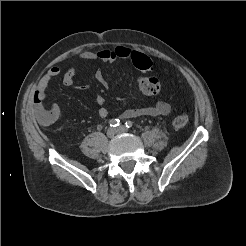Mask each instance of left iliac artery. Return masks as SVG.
Returning <instances> with one entry per match:
<instances>
[{
    "instance_id": "left-iliac-artery-1",
    "label": "left iliac artery",
    "mask_w": 246,
    "mask_h": 246,
    "mask_svg": "<svg viewBox=\"0 0 246 246\" xmlns=\"http://www.w3.org/2000/svg\"><path fill=\"white\" fill-rule=\"evenodd\" d=\"M125 126L127 128H131L133 126V123L131 121H126Z\"/></svg>"
}]
</instances>
